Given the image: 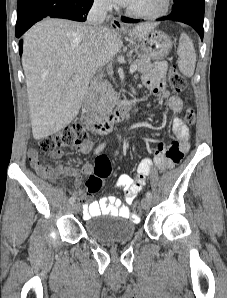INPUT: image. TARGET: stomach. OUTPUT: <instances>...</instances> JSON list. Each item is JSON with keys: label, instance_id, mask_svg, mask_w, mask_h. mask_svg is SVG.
<instances>
[{"label": "stomach", "instance_id": "1", "mask_svg": "<svg viewBox=\"0 0 227 298\" xmlns=\"http://www.w3.org/2000/svg\"><path fill=\"white\" fill-rule=\"evenodd\" d=\"M138 41L144 53L154 60L164 59L172 48L171 39L162 31L152 30Z\"/></svg>", "mask_w": 227, "mask_h": 298}]
</instances>
